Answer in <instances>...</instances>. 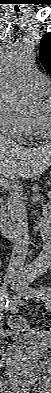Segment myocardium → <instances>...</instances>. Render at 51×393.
Segmentation results:
<instances>
[{
  "label": "myocardium",
  "instance_id": "myocardium-1",
  "mask_svg": "<svg viewBox=\"0 0 51 393\" xmlns=\"http://www.w3.org/2000/svg\"><path fill=\"white\" fill-rule=\"evenodd\" d=\"M45 105L51 109V98L46 99L43 102ZM34 120L42 134L43 137L49 138L51 136V121L46 122L44 119L39 117H34Z\"/></svg>",
  "mask_w": 51,
  "mask_h": 393
}]
</instances>
